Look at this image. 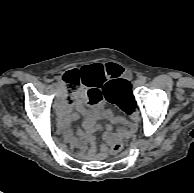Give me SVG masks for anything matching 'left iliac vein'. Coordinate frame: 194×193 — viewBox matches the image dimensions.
I'll return each instance as SVG.
<instances>
[{
  "label": "left iliac vein",
  "instance_id": "4c4485c4",
  "mask_svg": "<svg viewBox=\"0 0 194 193\" xmlns=\"http://www.w3.org/2000/svg\"><path fill=\"white\" fill-rule=\"evenodd\" d=\"M141 84H143L142 81H141V79H137V80L135 81V85H136V86H139V85H141Z\"/></svg>",
  "mask_w": 194,
  "mask_h": 193
}]
</instances>
